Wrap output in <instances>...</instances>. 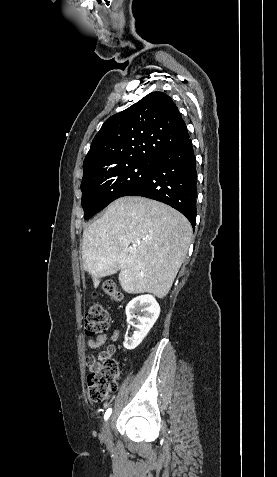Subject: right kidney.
Returning <instances> with one entry per match:
<instances>
[{"mask_svg": "<svg viewBox=\"0 0 277 477\" xmlns=\"http://www.w3.org/2000/svg\"><path fill=\"white\" fill-rule=\"evenodd\" d=\"M139 313V315H136ZM160 314V306L152 295H141L132 299L126 306L127 324L134 326L131 337L125 335L123 345L128 350L135 349L146 337ZM137 323L133 322V319Z\"/></svg>", "mask_w": 277, "mask_h": 477, "instance_id": "obj_1", "label": "right kidney"}]
</instances>
